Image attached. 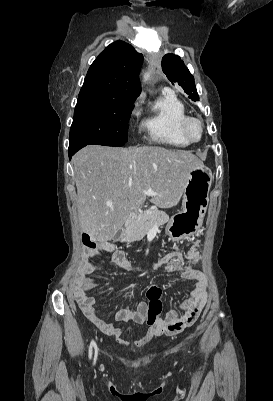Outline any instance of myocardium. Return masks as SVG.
<instances>
[{"label": "myocardium", "instance_id": "f54148a6", "mask_svg": "<svg viewBox=\"0 0 273 401\" xmlns=\"http://www.w3.org/2000/svg\"><path fill=\"white\" fill-rule=\"evenodd\" d=\"M192 123H198L201 128V136L197 140H194L189 136V127ZM179 133L181 137L189 144H198L202 142L206 137V126L201 119L189 116L180 124Z\"/></svg>", "mask_w": 273, "mask_h": 401}]
</instances>
